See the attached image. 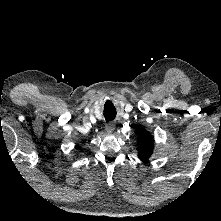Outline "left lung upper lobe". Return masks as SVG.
Segmentation results:
<instances>
[{"instance_id":"5c2ea615","label":"left lung upper lobe","mask_w":221,"mask_h":221,"mask_svg":"<svg viewBox=\"0 0 221 221\" xmlns=\"http://www.w3.org/2000/svg\"><path fill=\"white\" fill-rule=\"evenodd\" d=\"M136 134H138L137 143L139 146L137 147V150L139 152V158L146 161L153 151V138L150 133L143 128L137 129Z\"/></svg>"}]
</instances>
